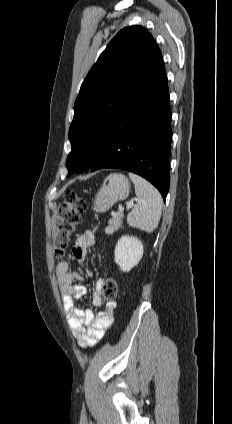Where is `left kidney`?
Here are the masks:
<instances>
[{"instance_id": "1", "label": "left kidney", "mask_w": 232, "mask_h": 424, "mask_svg": "<svg viewBox=\"0 0 232 424\" xmlns=\"http://www.w3.org/2000/svg\"><path fill=\"white\" fill-rule=\"evenodd\" d=\"M115 262L121 271L129 272L143 256V245L134 236H122L115 247Z\"/></svg>"}]
</instances>
